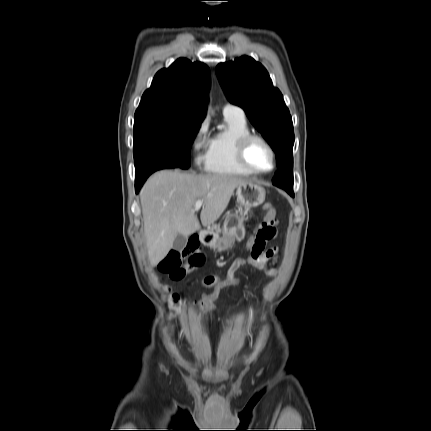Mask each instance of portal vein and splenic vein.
Masks as SVG:
<instances>
[{
	"label": "portal vein and splenic vein",
	"instance_id": "obj_1",
	"mask_svg": "<svg viewBox=\"0 0 431 431\" xmlns=\"http://www.w3.org/2000/svg\"><path fill=\"white\" fill-rule=\"evenodd\" d=\"M202 205H203V201L202 200H197L196 201V203H195V207H194V209L197 211V210H200V208L202 207Z\"/></svg>",
	"mask_w": 431,
	"mask_h": 431
}]
</instances>
